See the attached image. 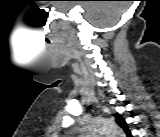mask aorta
I'll list each match as a JSON object with an SVG mask.
<instances>
[{
	"instance_id": "obj_1",
	"label": "aorta",
	"mask_w": 160,
	"mask_h": 137,
	"mask_svg": "<svg viewBox=\"0 0 160 137\" xmlns=\"http://www.w3.org/2000/svg\"><path fill=\"white\" fill-rule=\"evenodd\" d=\"M94 133L105 134L108 137H124L123 131L112 122H100L93 128Z\"/></svg>"
}]
</instances>
